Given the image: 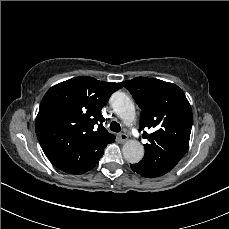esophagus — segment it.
I'll return each instance as SVG.
<instances>
[{"instance_id":"1","label":"esophagus","mask_w":229,"mask_h":229,"mask_svg":"<svg viewBox=\"0 0 229 229\" xmlns=\"http://www.w3.org/2000/svg\"><path fill=\"white\" fill-rule=\"evenodd\" d=\"M119 139H120V141H121L122 143H124L125 141L128 140V135L125 134V133H121V134H119Z\"/></svg>"}]
</instances>
